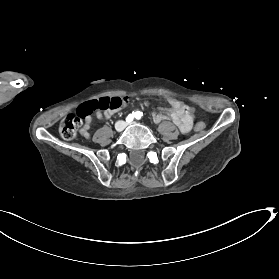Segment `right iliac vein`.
<instances>
[{"instance_id": "obj_1", "label": "right iliac vein", "mask_w": 279, "mask_h": 279, "mask_svg": "<svg viewBox=\"0 0 279 279\" xmlns=\"http://www.w3.org/2000/svg\"><path fill=\"white\" fill-rule=\"evenodd\" d=\"M124 127H125L124 123H118V124L116 125V130H117L118 132H121V131L124 129Z\"/></svg>"}]
</instances>
